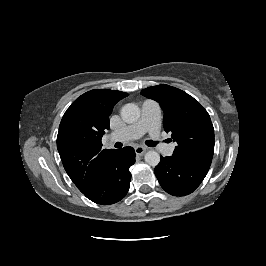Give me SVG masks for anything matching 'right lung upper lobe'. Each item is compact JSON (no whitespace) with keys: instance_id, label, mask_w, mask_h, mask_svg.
<instances>
[{"instance_id":"cb5924a9","label":"right lung upper lobe","mask_w":266,"mask_h":266,"mask_svg":"<svg viewBox=\"0 0 266 266\" xmlns=\"http://www.w3.org/2000/svg\"><path fill=\"white\" fill-rule=\"evenodd\" d=\"M127 93L91 90L79 96L66 110L57 136L63 166L84 194L97 182L115 149H102L101 138L109 129L113 106Z\"/></svg>"}]
</instances>
